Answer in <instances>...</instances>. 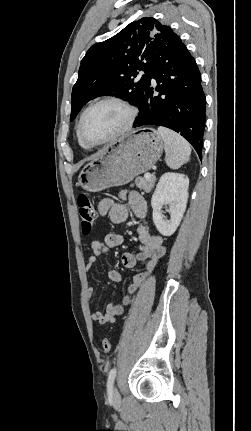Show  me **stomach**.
Listing matches in <instances>:
<instances>
[{
	"mask_svg": "<svg viewBox=\"0 0 251 431\" xmlns=\"http://www.w3.org/2000/svg\"><path fill=\"white\" fill-rule=\"evenodd\" d=\"M163 148L164 142L154 129L132 131L86 164L78 175V183L89 192L125 185L150 170Z\"/></svg>",
	"mask_w": 251,
	"mask_h": 431,
	"instance_id": "1",
	"label": "stomach"
}]
</instances>
